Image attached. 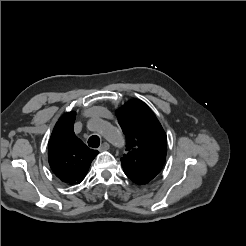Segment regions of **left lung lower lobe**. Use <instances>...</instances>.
<instances>
[{
	"mask_svg": "<svg viewBox=\"0 0 246 246\" xmlns=\"http://www.w3.org/2000/svg\"><path fill=\"white\" fill-rule=\"evenodd\" d=\"M130 180H132L134 183L136 184H146L143 180L141 179H138V178H135V177H132V176H129L128 177Z\"/></svg>",
	"mask_w": 246,
	"mask_h": 246,
	"instance_id": "1",
	"label": "left lung lower lobe"
}]
</instances>
